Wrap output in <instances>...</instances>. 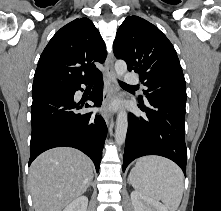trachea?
<instances>
[{"label":"trachea","mask_w":221,"mask_h":211,"mask_svg":"<svg viewBox=\"0 0 221 211\" xmlns=\"http://www.w3.org/2000/svg\"><path fill=\"white\" fill-rule=\"evenodd\" d=\"M120 83V85H123V86H130V85H127L126 83H124V82H119Z\"/></svg>","instance_id":"trachea-1"}]
</instances>
